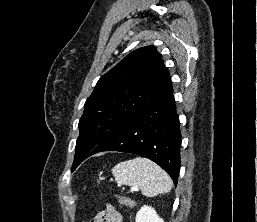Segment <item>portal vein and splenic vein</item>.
<instances>
[{
	"mask_svg": "<svg viewBox=\"0 0 257 222\" xmlns=\"http://www.w3.org/2000/svg\"><path fill=\"white\" fill-rule=\"evenodd\" d=\"M131 190L135 191L136 189H135V188H132Z\"/></svg>",
	"mask_w": 257,
	"mask_h": 222,
	"instance_id": "obj_1",
	"label": "portal vein and splenic vein"
}]
</instances>
